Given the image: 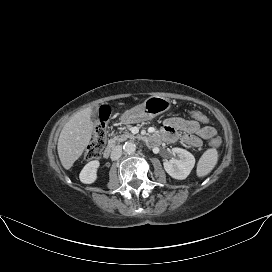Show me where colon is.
<instances>
[{
	"label": "colon",
	"mask_w": 272,
	"mask_h": 272,
	"mask_svg": "<svg viewBox=\"0 0 272 272\" xmlns=\"http://www.w3.org/2000/svg\"><path fill=\"white\" fill-rule=\"evenodd\" d=\"M111 109L108 106L100 107L97 116H96V123L95 129L93 133V138L89 145L86 148L84 157L87 161L93 160L98 158L103 148L106 144L107 140V131H106V124L110 117ZM189 116L192 120L206 123L208 122V117L206 114L200 111H192L189 113ZM221 144V139L219 137H215L210 141V145L212 147H218Z\"/></svg>",
	"instance_id": "1"
}]
</instances>
